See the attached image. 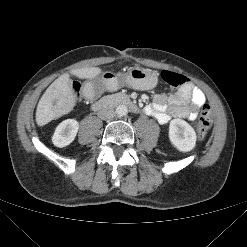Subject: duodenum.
Masks as SVG:
<instances>
[{"mask_svg":"<svg viewBox=\"0 0 247 247\" xmlns=\"http://www.w3.org/2000/svg\"><path fill=\"white\" fill-rule=\"evenodd\" d=\"M123 105L130 108L134 112H139V106L128 96L124 94H114L109 96H104L100 99L94 100L92 103L93 108L96 110L110 109L114 106Z\"/></svg>","mask_w":247,"mask_h":247,"instance_id":"obj_1","label":"duodenum"}]
</instances>
